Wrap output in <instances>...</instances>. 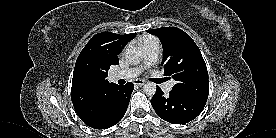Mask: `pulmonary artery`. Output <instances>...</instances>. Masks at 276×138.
<instances>
[{
    "mask_svg": "<svg viewBox=\"0 0 276 138\" xmlns=\"http://www.w3.org/2000/svg\"><path fill=\"white\" fill-rule=\"evenodd\" d=\"M143 51V67H148L154 64L160 53V44L158 41H150L141 45ZM143 67L129 68L121 70L112 74V80L131 79L137 77L143 70ZM174 82L169 81L163 86L165 92H170L173 88Z\"/></svg>",
    "mask_w": 276,
    "mask_h": 138,
    "instance_id": "1",
    "label": "pulmonary artery"
}]
</instances>
